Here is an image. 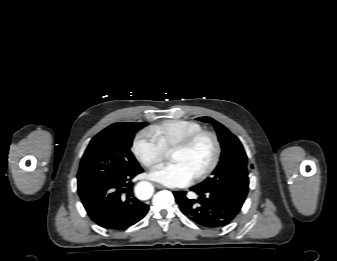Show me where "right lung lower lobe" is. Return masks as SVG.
<instances>
[{
	"mask_svg": "<svg viewBox=\"0 0 337 261\" xmlns=\"http://www.w3.org/2000/svg\"><path fill=\"white\" fill-rule=\"evenodd\" d=\"M143 169L119 179L94 186L79 194L90 218L109 230H123L140 221L149 206L133 195L132 179Z\"/></svg>",
	"mask_w": 337,
	"mask_h": 261,
	"instance_id": "right-lung-lower-lobe-1",
	"label": "right lung lower lobe"
}]
</instances>
